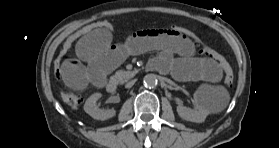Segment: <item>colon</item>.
<instances>
[{
    "label": "colon",
    "mask_w": 279,
    "mask_h": 148,
    "mask_svg": "<svg viewBox=\"0 0 279 148\" xmlns=\"http://www.w3.org/2000/svg\"><path fill=\"white\" fill-rule=\"evenodd\" d=\"M95 30H104V31H115V25L108 20H99L91 22L77 30H75L62 44L59 49L58 54L54 60V71L57 78H61V69L63 62L68 58V54L71 51L74 44L83 36L93 32ZM162 30L167 31L169 33L178 35L183 39L188 40L192 43V45L198 49V51L202 54H205L213 61L217 62L219 66L224 71V82L228 89H232L234 86V74L230 64L227 60L218 52L204 45L201 40L189 29L179 26V25H169L164 26ZM61 98L69 107L78 108L83 98L81 95L71 92V91H62Z\"/></svg>",
    "instance_id": "obj_1"
}]
</instances>
